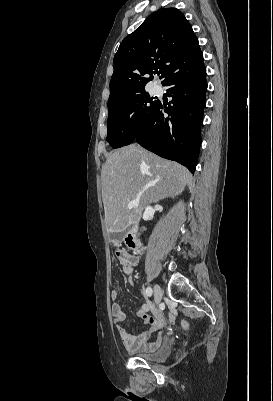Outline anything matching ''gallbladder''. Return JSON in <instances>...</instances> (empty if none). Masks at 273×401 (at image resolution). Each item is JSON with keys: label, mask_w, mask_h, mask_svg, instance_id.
<instances>
[{"label": "gallbladder", "mask_w": 273, "mask_h": 401, "mask_svg": "<svg viewBox=\"0 0 273 401\" xmlns=\"http://www.w3.org/2000/svg\"><path fill=\"white\" fill-rule=\"evenodd\" d=\"M109 237L110 239H116V241H121L122 239L121 233H110Z\"/></svg>", "instance_id": "gallbladder-1"}]
</instances>
